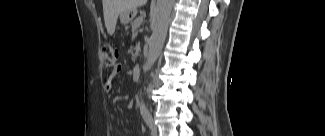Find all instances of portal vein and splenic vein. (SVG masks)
<instances>
[{
  "mask_svg": "<svg viewBox=\"0 0 325 136\" xmlns=\"http://www.w3.org/2000/svg\"><path fill=\"white\" fill-rule=\"evenodd\" d=\"M142 20H143V17H140V18L138 19V25L142 22Z\"/></svg>",
  "mask_w": 325,
  "mask_h": 136,
  "instance_id": "obj_1",
  "label": "portal vein and splenic vein"
}]
</instances>
